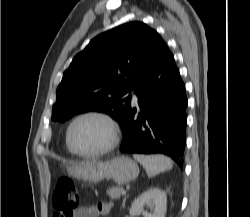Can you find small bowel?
<instances>
[{
	"label": "small bowel",
	"instance_id": "obj_1",
	"mask_svg": "<svg viewBox=\"0 0 250 217\" xmlns=\"http://www.w3.org/2000/svg\"><path fill=\"white\" fill-rule=\"evenodd\" d=\"M112 204L109 202H102L96 205L81 206L73 212L72 217H99L110 214Z\"/></svg>",
	"mask_w": 250,
	"mask_h": 217
}]
</instances>
